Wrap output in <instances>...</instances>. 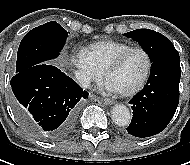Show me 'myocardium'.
Instances as JSON below:
<instances>
[{
    "label": "myocardium",
    "instance_id": "1",
    "mask_svg": "<svg viewBox=\"0 0 190 165\" xmlns=\"http://www.w3.org/2000/svg\"><path fill=\"white\" fill-rule=\"evenodd\" d=\"M132 51H140L144 54V56L146 57V62H147L146 70H145V73H144L143 77L141 78V80L134 87H132L129 90H125V91H116L118 94H120L122 96H132V95H135L136 93H138L145 86V84L150 76L152 66H153L152 57L147 49H145L144 47H141V46H130L127 49L120 52L109 63V65L107 66V68L104 71V76H105L106 80L108 79L109 75L119 67V65L122 63L124 58Z\"/></svg>",
    "mask_w": 190,
    "mask_h": 165
}]
</instances>
